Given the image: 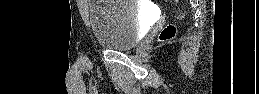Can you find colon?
I'll use <instances>...</instances> for the list:
<instances>
[{"label":"colon","instance_id":"colon-1","mask_svg":"<svg viewBox=\"0 0 259 94\" xmlns=\"http://www.w3.org/2000/svg\"><path fill=\"white\" fill-rule=\"evenodd\" d=\"M175 27L173 25H168L163 29V31L160 34L161 40H168L171 39L175 35Z\"/></svg>","mask_w":259,"mask_h":94}]
</instances>
